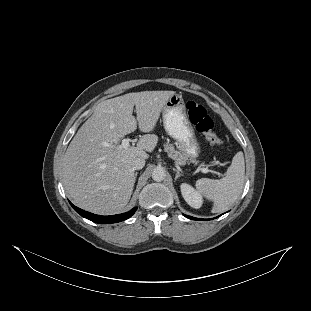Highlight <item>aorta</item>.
<instances>
[{"mask_svg": "<svg viewBox=\"0 0 311 311\" xmlns=\"http://www.w3.org/2000/svg\"><path fill=\"white\" fill-rule=\"evenodd\" d=\"M166 173L163 168H155L152 172V179L156 182H161L165 179Z\"/></svg>", "mask_w": 311, "mask_h": 311, "instance_id": "1", "label": "aorta"}]
</instances>
